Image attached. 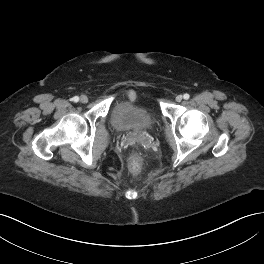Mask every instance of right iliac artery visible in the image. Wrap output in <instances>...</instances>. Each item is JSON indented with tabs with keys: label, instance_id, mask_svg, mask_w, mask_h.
Returning a JSON list of instances; mask_svg holds the SVG:
<instances>
[{
	"label": "right iliac artery",
	"instance_id": "obj_1",
	"mask_svg": "<svg viewBox=\"0 0 264 264\" xmlns=\"http://www.w3.org/2000/svg\"><path fill=\"white\" fill-rule=\"evenodd\" d=\"M72 100H73L74 102H78V101H79V97H78V96H74V97L72 98Z\"/></svg>",
	"mask_w": 264,
	"mask_h": 264
}]
</instances>
